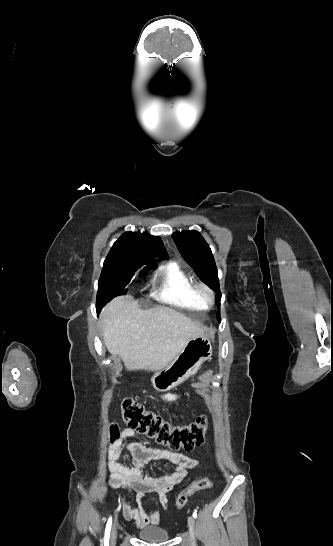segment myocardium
I'll use <instances>...</instances> for the list:
<instances>
[{
	"label": "myocardium",
	"instance_id": "1",
	"mask_svg": "<svg viewBox=\"0 0 333 546\" xmlns=\"http://www.w3.org/2000/svg\"><path fill=\"white\" fill-rule=\"evenodd\" d=\"M195 292L197 297L207 306L212 305L215 300L214 291L205 283L199 282L195 284Z\"/></svg>",
	"mask_w": 333,
	"mask_h": 546
}]
</instances>
